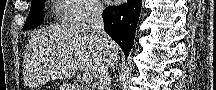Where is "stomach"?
<instances>
[{
    "mask_svg": "<svg viewBox=\"0 0 216 90\" xmlns=\"http://www.w3.org/2000/svg\"><path fill=\"white\" fill-rule=\"evenodd\" d=\"M61 90H68V85L64 84V85L61 87Z\"/></svg>",
    "mask_w": 216,
    "mask_h": 90,
    "instance_id": "1",
    "label": "stomach"
}]
</instances>
